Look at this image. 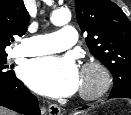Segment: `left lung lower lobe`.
Listing matches in <instances>:
<instances>
[{
    "instance_id": "1",
    "label": "left lung lower lobe",
    "mask_w": 131,
    "mask_h": 115,
    "mask_svg": "<svg viewBox=\"0 0 131 115\" xmlns=\"http://www.w3.org/2000/svg\"><path fill=\"white\" fill-rule=\"evenodd\" d=\"M110 98H112V97H110ZM88 108V106H83L82 108H80L81 110H84V109H87Z\"/></svg>"
}]
</instances>
